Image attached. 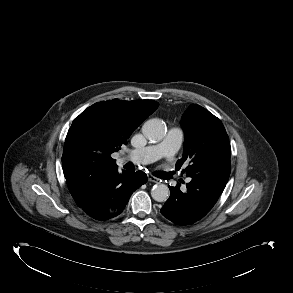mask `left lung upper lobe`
Listing matches in <instances>:
<instances>
[{"instance_id":"5c2ea615","label":"left lung upper lobe","mask_w":293,"mask_h":293,"mask_svg":"<svg viewBox=\"0 0 293 293\" xmlns=\"http://www.w3.org/2000/svg\"><path fill=\"white\" fill-rule=\"evenodd\" d=\"M185 129L184 154L176 163L190 177H205L227 183L231 171V147L222 122L205 108L192 104L180 122Z\"/></svg>"}]
</instances>
